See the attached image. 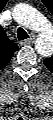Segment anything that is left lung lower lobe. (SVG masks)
Segmentation results:
<instances>
[{"label": "left lung lower lobe", "instance_id": "1", "mask_svg": "<svg viewBox=\"0 0 53 120\" xmlns=\"http://www.w3.org/2000/svg\"><path fill=\"white\" fill-rule=\"evenodd\" d=\"M44 63H45L46 66H48L47 60L46 61L44 60Z\"/></svg>", "mask_w": 53, "mask_h": 120}]
</instances>
